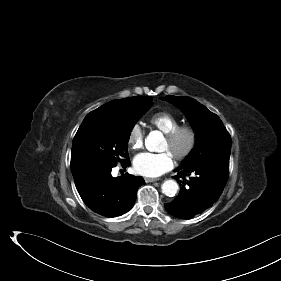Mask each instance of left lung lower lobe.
Here are the masks:
<instances>
[{
    "label": "left lung lower lobe",
    "mask_w": 281,
    "mask_h": 281,
    "mask_svg": "<svg viewBox=\"0 0 281 281\" xmlns=\"http://www.w3.org/2000/svg\"><path fill=\"white\" fill-rule=\"evenodd\" d=\"M176 172L174 178L183 185L179 195L166 203L165 208L175 217L191 219L218 200L228 179L229 163L203 162L194 166H180ZM190 175L186 180L185 176Z\"/></svg>",
    "instance_id": "1"
}]
</instances>
